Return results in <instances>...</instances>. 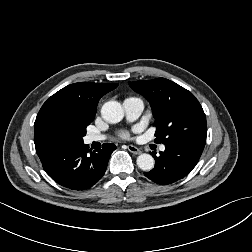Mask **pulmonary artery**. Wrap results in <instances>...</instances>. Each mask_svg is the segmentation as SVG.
<instances>
[{"label":"pulmonary artery","mask_w":252,"mask_h":252,"mask_svg":"<svg viewBox=\"0 0 252 252\" xmlns=\"http://www.w3.org/2000/svg\"><path fill=\"white\" fill-rule=\"evenodd\" d=\"M123 108L126 119L128 121H135L141 116L144 110V102L138 97H128L123 101ZM104 139H106V136L103 134H89L86 137V143L90 144L92 142L102 141ZM160 150L164 151L165 146L161 145Z\"/></svg>","instance_id":"obj_1"}]
</instances>
